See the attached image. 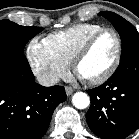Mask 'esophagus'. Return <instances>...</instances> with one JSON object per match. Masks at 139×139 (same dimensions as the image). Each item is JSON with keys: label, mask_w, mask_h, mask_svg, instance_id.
I'll list each match as a JSON object with an SVG mask.
<instances>
[{"label": "esophagus", "mask_w": 139, "mask_h": 139, "mask_svg": "<svg viewBox=\"0 0 139 139\" xmlns=\"http://www.w3.org/2000/svg\"><path fill=\"white\" fill-rule=\"evenodd\" d=\"M65 90H66V94L68 96H70L74 92V89L72 87H69V86L66 87Z\"/></svg>", "instance_id": "obj_1"}]
</instances>
